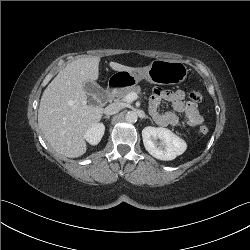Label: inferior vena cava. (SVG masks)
Segmentation results:
<instances>
[{"label": "inferior vena cava", "instance_id": "inferior-vena-cava-1", "mask_svg": "<svg viewBox=\"0 0 250 250\" xmlns=\"http://www.w3.org/2000/svg\"><path fill=\"white\" fill-rule=\"evenodd\" d=\"M122 106L119 103H112L109 104L105 109H104V114L106 115H113L118 113L121 110Z\"/></svg>", "mask_w": 250, "mask_h": 250}]
</instances>
